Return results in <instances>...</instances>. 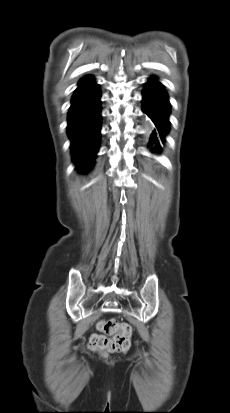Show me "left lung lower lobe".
<instances>
[{
  "label": "left lung lower lobe",
  "mask_w": 230,
  "mask_h": 413,
  "mask_svg": "<svg viewBox=\"0 0 230 413\" xmlns=\"http://www.w3.org/2000/svg\"><path fill=\"white\" fill-rule=\"evenodd\" d=\"M142 110L157 128L151 135V140L155 143L151 152L159 153L162 147L158 139L160 138L163 144L165 135L170 129V103L163 85L156 78L149 80L144 86Z\"/></svg>",
  "instance_id": "0a47b994"
}]
</instances>
